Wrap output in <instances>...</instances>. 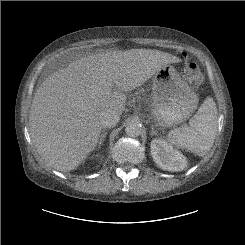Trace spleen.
Here are the masks:
<instances>
[{"mask_svg": "<svg viewBox=\"0 0 245 245\" xmlns=\"http://www.w3.org/2000/svg\"><path fill=\"white\" fill-rule=\"evenodd\" d=\"M218 126L217 107L207 97L190 119L189 127L175 128L168 135V141L177 148L186 149L199 156L205 155L213 146Z\"/></svg>", "mask_w": 245, "mask_h": 245, "instance_id": "1", "label": "spleen"}]
</instances>
